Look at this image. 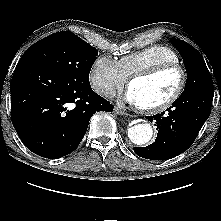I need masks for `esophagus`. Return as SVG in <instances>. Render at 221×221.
Segmentation results:
<instances>
[{
	"label": "esophagus",
	"instance_id": "esophagus-1",
	"mask_svg": "<svg viewBox=\"0 0 221 221\" xmlns=\"http://www.w3.org/2000/svg\"><path fill=\"white\" fill-rule=\"evenodd\" d=\"M114 113L117 115H127V113L123 110V107L121 104H118L114 108Z\"/></svg>",
	"mask_w": 221,
	"mask_h": 221
}]
</instances>
